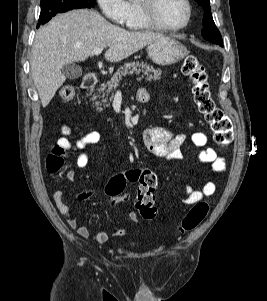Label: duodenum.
Here are the masks:
<instances>
[{
	"label": "duodenum",
	"mask_w": 267,
	"mask_h": 301,
	"mask_svg": "<svg viewBox=\"0 0 267 301\" xmlns=\"http://www.w3.org/2000/svg\"><path fill=\"white\" fill-rule=\"evenodd\" d=\"M97 83V77L90 75L84 78L82 82V88L86 91H91L95 88ZM137 99L141 103H146L148 101V94L147 92L137 93Z\"/></svg>",
	"instance_id": "410a0bca"
}]
</instances>
